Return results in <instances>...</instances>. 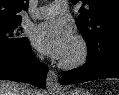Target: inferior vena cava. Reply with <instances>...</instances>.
Listing matches in <instances>:
<instances>
[{
	"mask_svg": "<svg viewBox=\"0 0 119 95\" xmlns=\"http://www.w3.org/2000/svg\"><path fill=\"white\" fill-rule=\"evenodd\" d=\"M21 95H33V89L28 84H24L21 90Z\"/></svg>",
	"mask_w": 119,
	"mask_h": 95,
	"instance_id": "1",
	"label": "inferior vena cava"
}]
</instances>
